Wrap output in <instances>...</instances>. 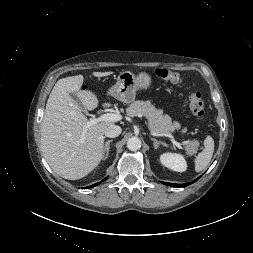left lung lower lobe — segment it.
Instances as JSON below:
<instances>
[{"label": "left lung lower lobe", "mask_w": 253, "mask_h": 253, "mask_svg": "<svg viewBox=\"0 0 253 253\" xmlns=\"http://www.w3.org/2000/svg\"><path fill=\"white\" fill-rule=\"evenodd\" d=\"M198 180V178L197 179H195L193 182H196ZM163 184H164V182H163ZM168 186H172V187H186V186H188L189 184H191V183H186V184H173V183H166Z\"/></svg>", "instance_id": "0a47b994"}]
</instances>
